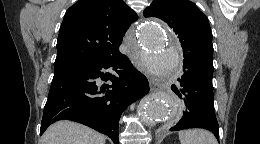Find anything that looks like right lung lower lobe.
<instances>
[{
    "label": "right lung lower lobe",
    "instance_id": "98d812e1",
    "mask_svg": "<svg viewBox=\"0 0 260 144\" xmlns=\"http://www.w3.org/2000/svg\"><path fill=\"white\" fill-rule=\"evenodd\" d=\"M104 68H112L115 74L104 73ZM97 78L109 80L112 85L100 86ZM148 92L147 78L120 51L60 70L54 73L40 135L55 121L68 119L106 134L114 144H119L122 112Z\"/></svg>",
    "mask_w": 260,
    "mask_h": 144
}]
</instances>
